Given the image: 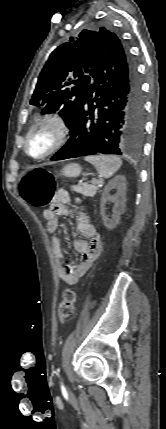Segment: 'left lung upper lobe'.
<instances>
[{"label":"left lung upper lobe","mask_w":166,"mask_h":429,"mask_svg":"<svg viewBox=\"0 0 166 429\" xmlns=\"http://www.w3.org/2000/svg\"><path fill=\"white\" fill-rule=\"evenodd\" d=\"M112 35L116 34L104 27L98 31L84 29L57 47L38 77L30 104L44 107L42 114L58 111L70 129L90 83L94 51Z\"/></svg>","instance_id":"obj_1"}]
</instances>
